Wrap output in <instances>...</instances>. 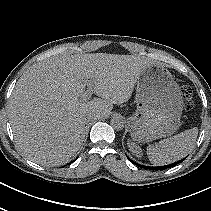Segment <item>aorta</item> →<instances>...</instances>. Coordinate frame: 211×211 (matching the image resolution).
<instances>
[{
  "instance_id": "obj_1",
  "label": "aorta",
  "mask_w": 211,
  "mask_h": 211,
  "mask_svg": "<svg viewBox=\"0 0 211 211\" xmlns=\"http://www.w3.org/2000/svg\"><path fill=\"white\" fill-rule=\"evenodd\" d=\"M110 123H111V126L116 130H122L125 125L123 118L120 116L113 117Z\"/></svg>"
}]
</instances>
